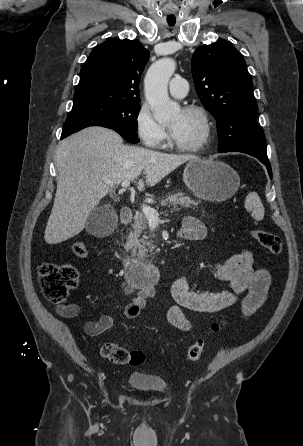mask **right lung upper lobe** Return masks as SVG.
<instances>
[{
	"label": "right lung upper lobe",
	"instance_id": "obj_1",
	"mask_svg": "<svg viewBox=\"0 0 303 446\" xmlns=\"http://www.w3.org/2000/svg\"><path fill=\"white\" fill-rule=\"evenodd\" d=\"M149 52L137 40H109L97 45L80 71L73 108L93 103H139V81Z\"/></svg>",
	"mask_w": 303,
	"mask_h": 446
}]
</instances>
